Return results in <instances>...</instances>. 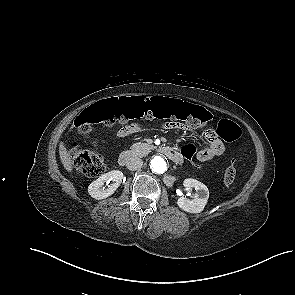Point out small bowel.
I'll use <instances>...</instances> for the list:
<instances>
[{"mask_svg":"<svg viewBox=\"0 0 295 295\" xmlns=\"http://www.w3.org/2000/svg\"><path fill=\"white\" fill-rule=\"evenodd\" d=\"M160 128L169 130H179L186 136L198 139L201 136L200 131L189 128L187 124L182 121H170L162 120L159 123ZM141 126L135 123L123 126L117 131V136L124 138L132 135L133 133L139 131ZM203 138L206 142V146L197 151L196 159L200 162H207L215 157L223 154L225 147L222 141L215 135L211 130L204 132Z\"/></svg>","mask_w":295,"mask_h":295,"instance_id":"obj_1","label":"small bowel"}]
</instances>
